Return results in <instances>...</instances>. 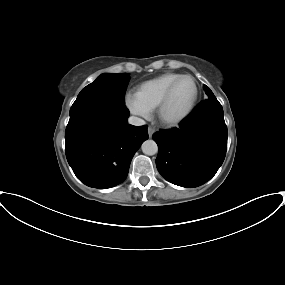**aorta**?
<instances>
[{
	"instance_id": "obj_1",
	"label": "aorta",
	"mask_w": 285,
	"mask_h": 285,
	"mask_svg": "<svg viewBox=\"0 0 285 285\" xmlns=\"http://www.w3.org/2000/svg\"><path fill=\"white\" fill-rule=\"evenodd\" d=\"M141 148L142 152L146 155H155L158 152V146L153 140H146L143 142Z\"/></svg>"
}]
</instances>
